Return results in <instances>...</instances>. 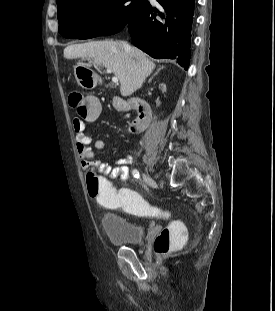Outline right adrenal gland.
<instances>
[{"mask_svg":"<svg viewBox=\"0 0 275 311\" xmlns=\"http://www.w3.org/2000/svg\"><path fill=\"white\" fill-rule=\"evenodd\" d=\"M161 69H163V67L158 68L157 71L150 77V79L148 80V82H151L152 79L159 73V71H160Z\"/></svg>","mask_w":275,"mask_h":311,"instance_id":"right-adrenal-gland-1","label":"right adrenal gland"}]
</instances>
